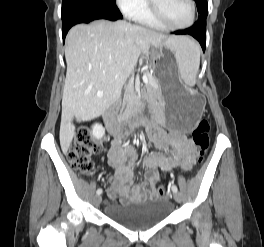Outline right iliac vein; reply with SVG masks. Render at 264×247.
Listing matches in <instances>:
<instances>
[{"label":"right iliac vein","instance_id":"right-iliac-vein-1","mask_svg":"<svg viewBox=\"0 0 264 247\" xmlns=\"http://www.w3.org/2000/svg\"><path fill=\"white\" fill-rule=\"evenodd\" d=\"M93 201H94V204H95L96 206H98V205L101 203V196H100V195H96V196L94 197Z\"/></svg>","mask_w":264,"mask_h":247}]
</instances>
